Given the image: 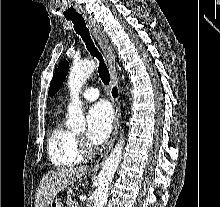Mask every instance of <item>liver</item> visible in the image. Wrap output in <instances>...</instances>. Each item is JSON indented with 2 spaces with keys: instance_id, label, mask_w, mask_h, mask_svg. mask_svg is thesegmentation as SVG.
<instances>
[{
  "instance_id": "6515ba94",
  "label": "liver",
  "mask_w": 220,
  "mask_h": 207,
  "mask_svg": "<svg viewBox=\"0 0 220 207\" xmlns=\"http://www.w3.org/2000/svg\"><path fill=\"white\" fill-rule=\"evenodd\" d=\"M86 172V166L57 168L49 171L40 180L35 198V207H48L61 190L72 185Z\"/></svg>"
}]
</instances>
